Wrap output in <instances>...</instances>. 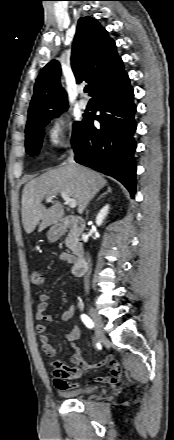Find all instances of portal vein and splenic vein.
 I'll list each match as a JSON object with an SVG mask.
<instances>
[{
  "mask_svg": "<svg viewBox=\"0 0 174 440\" xmlns=\"http://www.w3.org/2000/svg\"><path fill=\"white\" fill-rule=\"evenodd\" d=\"M62 198L64 199L65 203L70 207V208H75L77 206V202L75 199L69 197V195L65 192H61L60 193ZM53 197L52 196H47L46 200L47 201H52Z\"/></svg>",
  "mask_w": 174,
  "mask_h": 440,
  "instance_id": "1",
  "label": "portal vein and splenic vein"
}]
</instances>
